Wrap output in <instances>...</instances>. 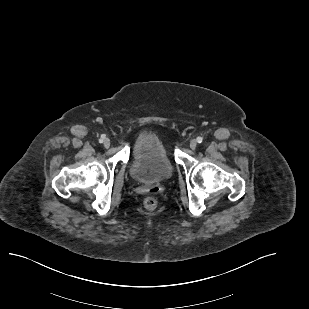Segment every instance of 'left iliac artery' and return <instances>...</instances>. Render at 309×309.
I'll return each instance as SVG.
<instances>
[{"mask_svg": "<svg viewBox=\"0 0 309 309\" xmlns=\"http://www.w3.org/2000/svg\"><path fill=\"white\" fill-rule=\"evenodd\" d=\"M196 141H197L198 143H202L203 138H202V137H197Z\"/></svg>", "mask_w": 309, "mask_h": 309, "instance_id": "44dca946", "label": "left iliac artery"}]
</instances>
